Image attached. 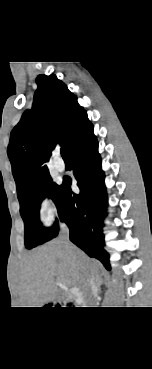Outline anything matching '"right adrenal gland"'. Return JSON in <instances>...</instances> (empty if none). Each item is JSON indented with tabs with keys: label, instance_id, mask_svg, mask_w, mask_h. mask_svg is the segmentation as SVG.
<instances>
[{
	"label": "right adrenal gland",
	"instance_id": "obj_1",
	"mask_svg": "<svg viewBox=\"0 0 152 369\" xmlns=\"http://www.w3.org/2000/svg\"><path fill=\"white\" fill-rule=\"evenodd\" d=\"M95 282L97 283L98 287H100L103 284V278L101 274H96Z\"/></svg>",
	"mask_w": 152,
	"mask_h": 369
}]
</instances>
